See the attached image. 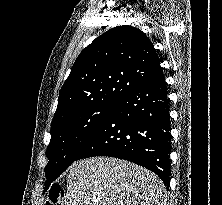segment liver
Returning <instances> with one entry per match:
<instances>
[{
  "mask_svg": "<svg viewBox=\"0 0 222 205\" xmlns=\"http://www.w3.org/2000/svg\"><path fill=\"white\" fill-rule=\"evenodd\" d=\"M65 205H164L165 185L151 171L108 157L74 162Z\"/></svg>",
  "mask_w": 222,
  "mask_h": 205,
  "instance_id": "6515ba94",
  "label": "liver"
}]
</instances>
